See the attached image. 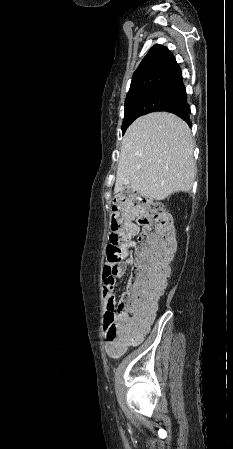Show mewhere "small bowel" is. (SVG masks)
<instances>
[{
	"mask_svg": "<svg viewBox=\"0 0 233 449\" xmlns=\"http://www.w3.org/2000/svg\"><path fill=\"white\" fill-rule=\"evenodd\" d=\"M139 233V227L137 225H135V232L134 235ZM133 263V258L132 256H127L126 258L122 259L120 262H118L117 264H114L111 266V268H109L103 277V295L106 301V308L107 310H111L115 303H116V293H115V284H116V279L120 276L123 275L124 271L126 270V268L130 265H132ZM149 327V321H145L143 323H141L139 325L137 334H136V338L135 340L128 345L127 347L138 343L143 335L145 334V332L148 330ZM114 344L113 343H108V349L111 348ZM125 347L123 349V351L127 348Z\"/></svg>",
	"mask_w": 233,
	"mask_h": 449,
	"instance_id": "small-bowel-1",
	"label": "small bowel"
}]
</instances>
